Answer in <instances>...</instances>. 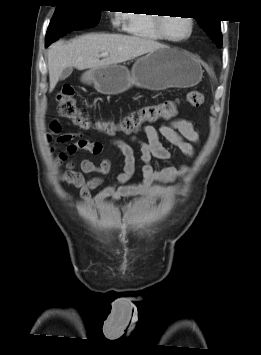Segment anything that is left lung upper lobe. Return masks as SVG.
Segmentation results:
<instances>
[{
  "label": "left lung upper lobe",
  "instance_id": "obj_1",
  "mask_svg": "<svg viewBox=\"0 0 261 355\" xmlns=\"http://www.w3.org/2000/svg\"><path fill=\"white\" fill-rule=\"evenodd\" d=\"M200 27L219 46H222V34L219 20L196 19Z\"/></svg>",
  "mask_w": 261,
  "mask_h": 355
}]
</instances>
